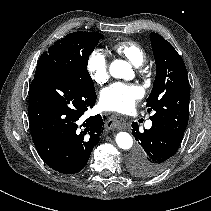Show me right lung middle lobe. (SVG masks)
<instances>
[{"mask_svg":"<svg viewBox=\"0 0 211 211\" xmlns=\"http://www.w3.org/2000/svg\"><path fill=\"white\" fill-rule=\"evenodd\" d=\"M102 38L103 35L97 32L70 33L44 52L38 63L44 64L49 61L56 69L72 77L84 88L95 91L87 64L89 55Z\"/></svg>","mask_w":211,"mask_h":211,"instance_id":"dd1d6c3e","label":"right lung middle lobe"}]
</instances>
